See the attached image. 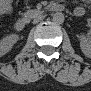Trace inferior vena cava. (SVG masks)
<instances>
[{"instance_id":"inferior-vena-cava-1","label":"inferior vena cava","mask_w":91,"mask_h":91,"mask_svg":"<svg viewBox=\"0 0 91 91\" xmlns=\"http://www.w3.org/2000/svg\"><path fill=\"white\" fill-rule=\"evenodd\" d=\"M43 18H44V16H43V15H40V16L36 17V18L33 20V23L36 24V23H38L40 20H42Z\"/></svg>"}]
</instances>
